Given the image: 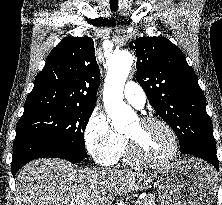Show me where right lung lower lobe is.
<instances>
[{
  "instance_id": "right-lung-lower-lobe-1",
  "label": "right lung lower lobe",
  "mask_w": 222,
  "mask_h": 205,
  "mask_svg": "<svg viewBox=\"0 0 222 205\" xmlns=\"http://www.w3.org/2000/svg\"><path fill=\"white\" fill-rule=\"evenodd\" d=\"M13 149L11 163L13 176L23 165L38 158L53 157L70 162H81L86 159L61 145L39 138L14 140Z\"/></svg>"
}]
</instances>
